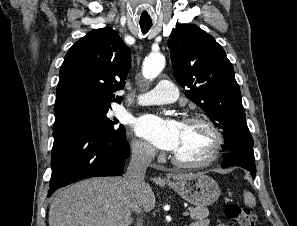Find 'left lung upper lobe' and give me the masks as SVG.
Here are the masks:
<instances>
[{"label":"left lung upper lobe","instance_id":"5c2ea615","mask_svg":"<svg viewBox=\"0 0 297 226\" xmlns=\"http://www.w3.org/2000/svg\"><path fill=\"white\" fill-rule=\"evenodd\" d=\"M174 76L185 95L223 130L225 152L253 150L234 69L216 40L194 24L178 26L168 40Z\"/></svg>","mask_w":297,"mask_h":226}]
</instances>
